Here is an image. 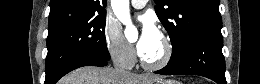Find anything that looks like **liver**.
Returning <instances> with one entry per match:
<instances>
[{
	"mask_svg": "<svg viewBox=\"0 0 260 84\" xmlns=\"http://www.w3.org/2000/svg\"><path fill=\"white\" fill-rule=\"evenodd\" d=\"M157 79V76L120 74L112 68L88 66L72 71L59 84H153Z\"/></svg>",
	"mask_w": 260,
	"mask_h": 84,
	"instance_id": "obj_1",
	"label": "liver"
}]
</instances>
